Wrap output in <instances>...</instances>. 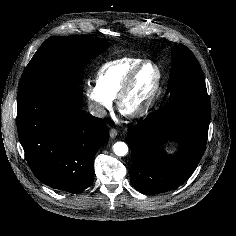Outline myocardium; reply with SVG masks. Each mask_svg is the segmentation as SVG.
I'll use <instances>...</instances> for the list:
<instances>
[{
    "instance_id": "obj_1",
    "label": "myocardium",
    "mask_w": 236,
    "mask_h": 236,
    "mask_svg": "<svg viewBox=\"0 0 236 236\" xmlns=\"http://www.w3.org/2000/svg\"><path fill=\"white\" fill-rule=\"evenodd\" d=\"M148 65L154 66L157 70L158 79H157L156 86L144 106H142L140 109H138L134 112L125 113L122 108L123 102H124L126 96L129 94L138 73L145 66H148ZM162 86H163V71H162L161 67L156 62H154L152 60H145V61L141 62L140 64L135 66L129 72V74L125 78V80L118 92V95L116 97L118 110L130 119H140L142 117L147 116L152 111L154 106L156 105L158 98L160 96L161 90H162Z\"/></svg>"
}]
</instances>
